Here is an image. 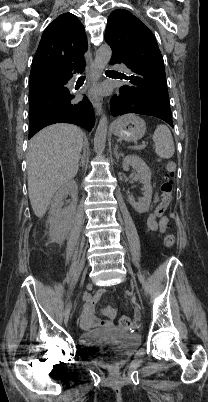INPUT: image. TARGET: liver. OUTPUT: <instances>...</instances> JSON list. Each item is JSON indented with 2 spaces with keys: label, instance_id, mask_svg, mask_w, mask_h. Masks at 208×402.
<instances>
[{
  "label": "liver",
  "instance_id": "1",
  "mask_svg": "<svg viewBox=\"0 0 208 402\" xmlns=\"http://www.w3.org/2000/svg\"><path fill=\"white\" fill-rule=\"evenodd\" d=\"M83 134L71 124H53L31 138L28 194L33 212L43 218L55 192L78 172Z\"/></svg>",
  "mask_w": 208,
  "mask_h": 402
}]
</instances>
